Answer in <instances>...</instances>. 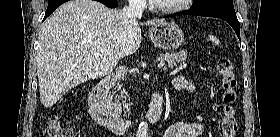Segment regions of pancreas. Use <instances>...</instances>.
Here are the masks:
<instances>
[{"instance_id":"cf45deb5","label":"pancreas","mask_w":280,"mask_h":137,"mask_svg":"<svg viewBox=\"0 0 280 137\" xmlns=\"http://www.w3.org/2000/svg\"><path fill=\"white\" fill-rule=\"evenodd\" d=\"M160 59L162 61H166V67L173 68L178 63H181L187 59V53L184 51L171 53V54H161ZM121 98H124L125 95H127V92L123 89L120 91ZM120 97L118 96V99H115L112 101V99L109 100L108 108L110 111H113L115 113H120L122 107L125 109H128V103L126 101L120 102Z\"/></svg>"}]
</instances>
